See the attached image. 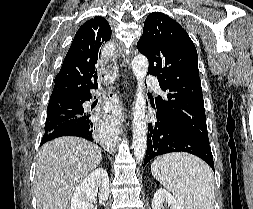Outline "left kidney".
<instances>
[{
  "instance_id": "1",
  "label": "left kidney",
  "mask_w": 253,
  "mask_h": 209,
  "mask_svg": "<svg viewBox=\"0 0 253 209\" xmlns=\"http://www.w3.org/2000/svg\"><path fill=\"white\" fill-rule=\"evenodd\" d=\"M168 204L170 209H182L176 199L165 189H158L152 200V209H163V205Z\"/></svg>"
}]
</instances>
